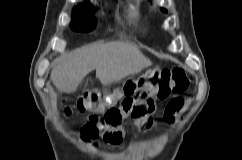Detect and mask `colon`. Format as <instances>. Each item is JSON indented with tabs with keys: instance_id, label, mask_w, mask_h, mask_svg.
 Wrapping results in <instances>:
<instances>
[{
	"instance_id": "1",
	"label": "colon",
	"mask_w": 242,
	"mask_h": 160,
	"mask_svg": "<svg viewBox=\"0 0 242 160\" xmlns=\"http://www.w3.org/2000/svg\"><path fill=\"white\" fill-rule=\"evenodd\" d=\"M189 84L190 79L181 67L151 69L137 78L128 79L120 89L104 96L98 90H87L66 102L64 112L67 115L73 112L90 113L81 128V134L86 139H95L121 124L125 115L150 120L154 111L153 98L182 93ZM119 99H122V110L114 106ZM182 106V99L176 97L170 102L167 113L177 112ZM100 112L103 114L97 116Z\"/></svg>"
}]
</instances>
